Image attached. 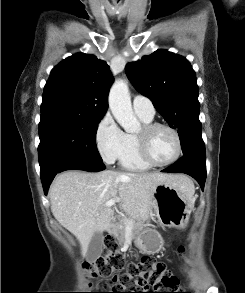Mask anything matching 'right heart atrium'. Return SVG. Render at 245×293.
<instances>
[{
	"instance_id": "right-heart-atrium-1",
	"label": "right heart atrium",
	"mask_w": 245,
	"mask_h": 293,
	"mask_svg": "<svg viewBox=\"0 0 245 293\" xmlns=\"http://www.w3.org/2000/svg\"><path fill=\"white\" fill-rule=\"evenodd\" d=\"M95 142L102 159L106 163L112 164L125 151L127 134L118 126L111 115L106 114L97 125Z\"/></svg>"
}]
</instances>
